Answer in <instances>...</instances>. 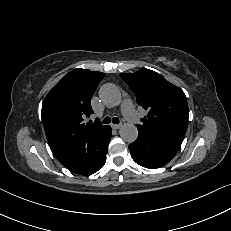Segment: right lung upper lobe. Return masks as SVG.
Instances as JSON below:
<instances>
[{
  "instance_id": "obj_1",
  "label": "right lung upper lobe",
  "mask_w": 231,
  "mask_h": 231,
  "mask_svg": "<svg viewBox=\"0 0 231 231\" xmlns=\"http://www.w3.org/2000/svg\"><path fill=\"white\" fill-rule=\"evenodd\" d=\"M104 76L101 72L75 69L46 96L42 121L47 140L59 161L73 160L82 140L105 127L91 120L84 122L85 116L93 113L91 98Z\"/></svg>"
}]
</instances>
